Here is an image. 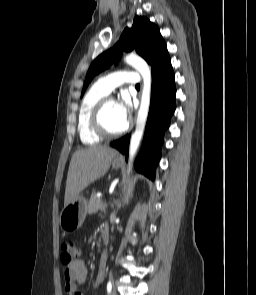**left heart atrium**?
<instances>
[{
	"label": "left heart atrium",
	"instance_id": "left-heart-atrium-1",
	"mask_svg": "<svg viewBox=\"0 0 256 295\" xmlns=\"http://www.w3.org/2000/svg\"><path fill=\"white\" fill-rule=\"evenodd\" d=\"M116 110L119 118L127 124L130 110H131V102L127 94H124L121 99L116 102Z\"/></svg>",
	"mask_w": 256,
	"mask_h": 295
}]
</instances>
